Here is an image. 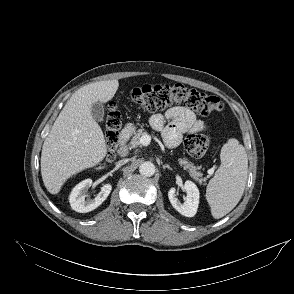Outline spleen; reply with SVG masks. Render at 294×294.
Returning <instances> with one entry per match:
<instances>
[{
  "mask_svg": "<svg viewBox=\"0 0 294 294\" xmlns=\"http://www.w3.org/2000/svg\"><path fill=\"white\" fill-rule=\"evenodd\" d=\"M221 165L206 188V199L215 219L228 214L240 201L247 180L248 158L236 139H229L221 149Z\"/></svg>",
  "mask_w": 294,
  "mask_h": 294,
  "instance_id": "3e777b00",
  "label": "spleen"
}]
</instances>
